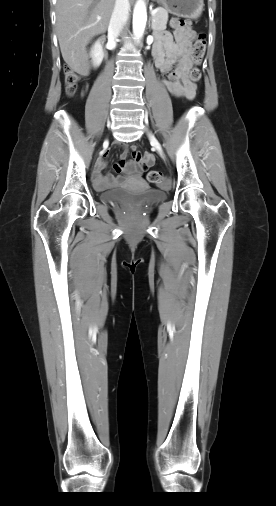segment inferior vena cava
<instances>
[{
	"label": "inferior vena cava",
	"instance_id": "obj_1",
	"mask_svg": "<svg viewBox=\"0 0 276 506\" xmlns=\"http://www.w3.org/2000/svg\"><path fill=\"white\" fill-rule=\"evenodd\" d=\"M129 11V0H115L114 10L108 27V41L113 46L116 45V39L128 20Z\"/></svg>",
	"mask_w": 276,
	"mask_h": 506
}]
</instances>
